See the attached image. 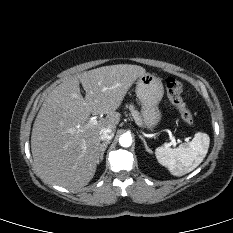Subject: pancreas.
<instances>
[{
  "label": "pancreas",
  "instance_id": "pancreas-1",
  "mask_svg": "<svg viewBox=\"0 0 233 233\" xmlns=\"http://www.w3.org/2000/svg\"><path fill=\"white\" fill-rule=\"evenodd\" d=\"M127 108L130 110V114L138 125H142V119L138 110L135 109L133 105H129Z\"/></svg>",
  "mask_w": 233,
  "mask_h": 233
}]
</instances>
